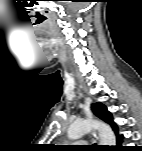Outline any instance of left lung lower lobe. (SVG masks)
<instances>
[{
	"label": "left lung lower lobe",
	"mask_w": 142,
	"mask_h": 151,
	"mask_svg": "<svg viewBox=\"0 0 142 151\" xmlns=\"http://www.w3.org/2000/svg\"><path fill=\"white\" fill-rule=\"evenodd\" d=\"M122 139H123V135H117V143H118V146L116 147L118 150H124V146L121 145V142H122Z\"/></svg>",
	"instance_id": "1"
}]
</instances>
